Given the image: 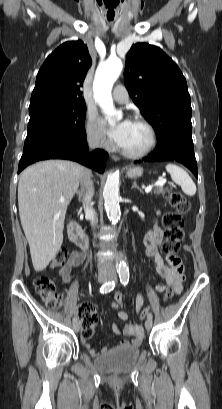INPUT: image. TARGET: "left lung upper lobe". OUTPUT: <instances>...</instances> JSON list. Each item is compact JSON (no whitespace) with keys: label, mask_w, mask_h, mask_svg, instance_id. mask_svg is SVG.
Segmentation results:
<instances>
[{"label":"left lung upper lobe","mask_w":222,"mask_h":409,"mask_svg":"<svg viewBox=\"0 0 222 409\" xmlns=\"http://www.w3.org/2000/svg\"><path fill=\"white\" fill-rule=\"evenodd\" d=\"M125 85L157 139L172 133L191 135V100L186 79L159 47L137 43L126 56Z\"/></svg>","instance_id":"5c2ea615"}]
</instances>
